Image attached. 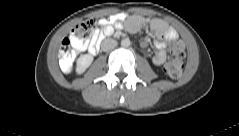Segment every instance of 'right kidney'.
<instances>
[{"mask_svg": "<svg viewBox=\"0 0 239 136\" xmlns=\"http://www.w3.org/2000/svg\"><path fill=\"white\" fill-rule=\"evenodd\" d=\"M93 57L89 54L81 55L77 60L76 72L82 74L92 63Z\"/></svg>", "mask_w": 239, "mask_h": 136, "instance_id": "right-kidney-1", "label": "right kidney"}]
</instances>
